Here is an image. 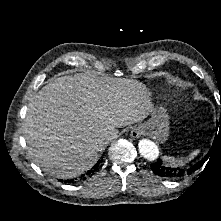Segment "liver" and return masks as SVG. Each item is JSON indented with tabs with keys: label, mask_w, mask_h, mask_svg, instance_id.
Listing matches in <instances>:
<instances>
[{
	"label": "liver",
	"mask_w": 221,
	"mask_h": 221,
	"mask_svg": "<svg viewBox=\"0 0 221 221\" xmlns=\"http://www.w3.org/2000/svg\"><path fill=\"white\" fill-rule=\"evenodd\" d=\"M151 93L139 81L76 73L50 81L30 100L24 137L32 160L58 178L89 170L109 140L105 131L142 122Z\"/></svg>",
	"instance_id": "6515ba94"
}]
</instances>
